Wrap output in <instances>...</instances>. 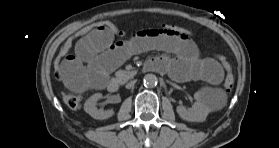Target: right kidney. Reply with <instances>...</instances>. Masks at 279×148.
I'll list each match as a JSON object with an SVG mask.
<instances>
[{
    "label": "right kidney",
    "instance_id": "right-kidney-1",
    "mask_svg": "<svg viewBox=\"0 0 279 148\" xmlns=\"http://www.w3.org/2000/svg\"><path fill=\"white\" fill-rule=\"evenodd\" d=\"M102 97L101 93H95L91 97H89L85 104H84V110L86 113H88L91 117L94 119H108L114 115L113 110H101L97 109L96 102Z\"/></svg>",
    "mask_w": 279,
    "mask_h": 148
}]
</instances>
